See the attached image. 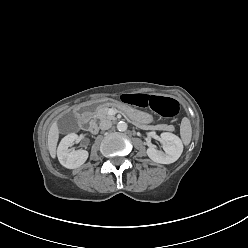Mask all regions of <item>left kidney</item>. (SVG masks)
Returning a JSON list of instances; mask_svg holds the SVG:
<instances>
[{"mask_svg":"<svg viewBox=\"0 0 248 248\" xmlns=\"http://www.w3.org/2000/svg\"><path fill=\"white\" fill-rule=\"evenodd\" d=\"M162 147L164 152L155 147H149L146 151L148 157L154 162L170 164L179 159L183 152V144L178 136L169 132L161 134Z\"/></svg>","mask_w":248,"mask_h":248,"instance_id":"1","label":"left kidney"}]
</instances>
